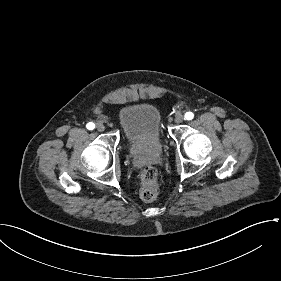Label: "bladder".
I'll return each instance as SVG.
<instances>
[{"mask_svg":"<svg viewBox=\"0 0 281 281\" xmlns=\"http://www.w3.org/2000/svg\"><path fill=\"white\" fill-rule=\"evenodd\" d=\"M162 109L147 100L126 102L117 108V120L132 153L154 157L161 153L164 142Z\"/></svg>","mask_w":281,"mask_h":281,"instance_id":"bladder-1","label":"bladder"}]
</instances>
